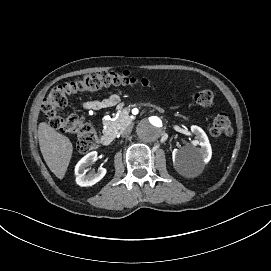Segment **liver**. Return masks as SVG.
<instances>
[{
  "mask_svg": "<svg viewBox=\"0 0 271 271\" xmlns=\"http://www.w3.org/2000/svg\"><path fill=\"white\" fill-rule=\"evenodd\" d=\"M38 139L47 166L57 178L63 179L71 160L72 143L45 122L39 124Z\"/></svg>",
  "mask_w": 271,
  "mask_h": 271,
  "instance_id": "1",
  "label": "liver"
}]
</instances>
